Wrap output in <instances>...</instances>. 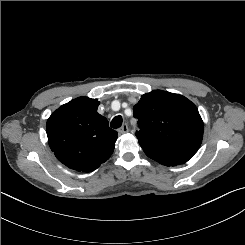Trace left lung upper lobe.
Masks as SVG:
<instances>
[{"label":"left lung upper lobe","mask_w":245,"mask_h":245,"mask_svg":"<svg viewBox=\"0 0 245 245\" xmlns=\"http://www.w3.org/2000/svg\"><path fill=\"white\" fill-rule=\"evenodd\" d=\"M133 109L139 143L187 158L199 149L204 125L197 107L186 97L153 90L142 95Z\"/></svg>","instance_id":"left-lung-upper-lobe-1"}]
</instances>
